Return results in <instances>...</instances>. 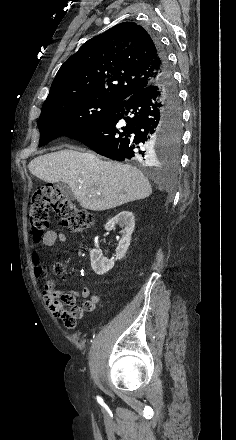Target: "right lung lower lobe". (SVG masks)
<instances>
[{
	"instance_id": "1",
	"label": "right lung lower lobe",
	"mask_w": 236,
	"mask_h": 440,
	"mask_svg": "<svg viewBox=\"0 0 236 440\" xmlns=\"http://www.w3.org/2000/svg\"><path fill=\"white\" fill-rule=\"evenodd\" d=\"M162 74L141 91L120 102L105 120L78 132V140L107 158L150 164L154 158L148 150L158 145L165 129L181 126V110L166 55L154 39Z\"/></svg>"
}]
</instances>
